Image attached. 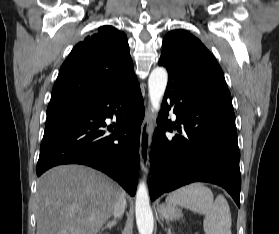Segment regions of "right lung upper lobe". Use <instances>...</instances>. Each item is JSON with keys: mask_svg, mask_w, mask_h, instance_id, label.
I'll use <instances>...</instances> for the list:
<instances>
[{"mask_svg": "<svg viewBox=\"0 0 279 234\" xmlns=\"http://www.w3.org/2000/svg\"><path fill=\"white\" fill-rule=\"evenodd\" d=\"M135 77L127 36L102 26L78 43L62 64L48 108L93 101Z\"/></svg>", "mask_w": 279, "mask_h": 234, "instance_id": "1", "label": "right lung upper lobe"}]
</instances>
